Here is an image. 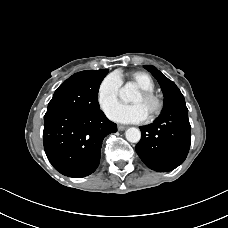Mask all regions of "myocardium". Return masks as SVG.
Here are the masks:
<instances>
[{"instance_id": "1", "label": "myocardium", "mask_w": 228, "mask_h": 228, "mask_svg": "<svg viewBox=\"0 0 228 228\" xmlns=\"http://www.w3.org/2000/svg\"><path fill=\"white\" fill-rule=\"evenodd\" d=\"M140 94L145 100L151 101L154 104V108L148 114V117L152 119L159 116L164 108V101L162 97L156 94L154 91L144 90V89H140Z\"/></svg>"}]
</instances>
